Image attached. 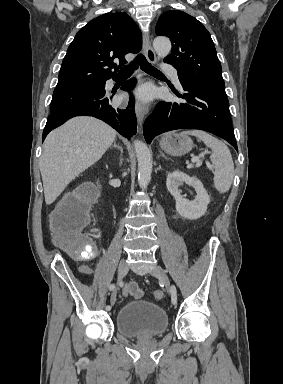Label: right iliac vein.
I'll use <instances>...</instances> for the list:
<instances>
[{
  "instance_id": "right-iliac-vein-1",
  "label": "right iliac vein",
  "mask_w": 283,
  "mask_h": 384,
  "mask_svg": "<svg viewBox=\"0 0 283 384\" xmlns=\"http://www.w3.org/2000/svg\"><path fill=\"white\" fill-rule=\"evenodd\" d=\"M127 271H128V265L126 261L122 259L118 266V282L122 280V278L126 275ZM116 293H117V290H115L112 294V299H111L112 304H114L116 301Z\"/></svg>"
}]
</instances>
